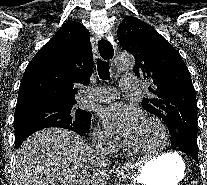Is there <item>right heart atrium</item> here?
I'll return each instance as SVG.
<instances>
[{"label":"right heart atrium","mask_w":207,"mask_h":185,"mask_svg":"<svg viewBox=\"0 0 207 185\" xmlns=\"http://www.w3.org/2000/svg\"><path fill=\"white\" fill-rule=\"evenodd\" d=\"M94 142L103 148H112L117 143V138L103 127H97L94 132Z\"/></svg>","instance_id":"d8ad5b80"}]
</instances>
